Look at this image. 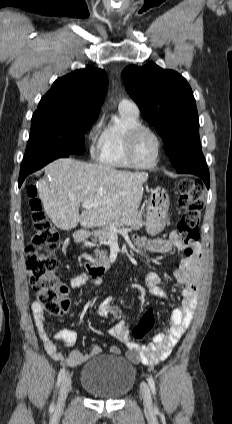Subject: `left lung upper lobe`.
Instances as JSON below:
<instances>
[{"label": "left lung upper lobe", "mask_w": 232, "mask_h": 424, "mask_svg": "<svg viewBox=\"0 0 232 424\" xmlns=\"http://www.w3.org/2000/svg\"><path fill=\"white\" fill-rule=\"evenodd\" d=\"M122 79L145 119L163 138L177 169L200 147L198 112L189 84L177 72L154 63L128 66Z\"/></svg>", "instance_id": "obj_1"}]
</instances>
